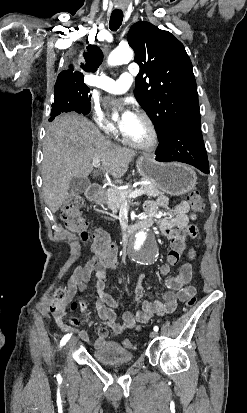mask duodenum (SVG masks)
I'll list each match as a JSON object with an SVG mask.
<instances>
[{
	"label": "duodenum",
	"mask_w": 247,
	"mask_h": 413,
	"mask_svg": "<svg viewBox=\"0 0 247 413\" xmlns=\"http://www.w3.org/2000/svg\"><path fill=\"white\" fill-rule=\"evenodd\" d=\"M102 193H103L102 188L97 184H93L88 188L86 192V197L91 202H98L102 198ZM149 226H150V223L148 220H142V221H138V222L130 224L125 230L121 232L120 234L121 241L123 243H126L128 241L129 236L133 232L143 229V228H147Z\"/></svg>",
	"instance_id": "410a0bca"
}]
</instances>
